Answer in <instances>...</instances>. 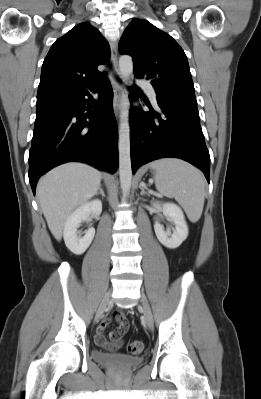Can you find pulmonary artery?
<instances>
[{"mask_svg": "<svg viewBox=\"0 0 261 399\" xmlns=\"http://www.w3.org/2000/svg\"><path fill=\"white\" fill-rule=\"evenodd\" d=\"M139 85L146 90V92L150 95L151 99L156 102V92L153 86L146 80H140Z\"/></svg>", "mask_w": 261, "mask_h": 399, "instance_id": "obj_1", "label": "pulmonary artery"}]
</instances>
